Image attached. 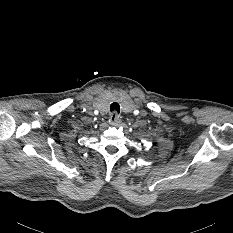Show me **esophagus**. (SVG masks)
<instances>
[{
	"label": "esophagus",
	"instance_id": "1",
	"mask_svg": "<svg viewBox=\"0 0 233 233\" xmlns=\"http://www.w3.org/2000/svg\"><path fill=\"white\" fill-rule=\"evenodd\" d=\"M110 122L112 124H119L120 123V116L116 112L111 113L110 114Z\"/></svg>",
	"mask_w": 233,
	"mask_h": 233
}]
</instances>
